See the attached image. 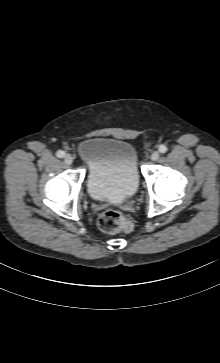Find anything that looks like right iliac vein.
<instances>
[{
    "instance_id": "63e3f726",
    "label": "right iliac vein",
    "mask_w": 220,
    "mask_h": 363,
    "mask_svg": "<svg viewBox=\"0 0 220 363\" xmlns=\"http://www.w3.org/2000/svg\"><path fill=\"white\" fill-rule=\"evenodd\" d=\"M64 161L66 164L70 165L73 162V157L70 154H66L64 156Z\"/></svg>"
}]
</instances>
